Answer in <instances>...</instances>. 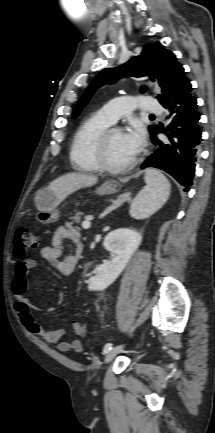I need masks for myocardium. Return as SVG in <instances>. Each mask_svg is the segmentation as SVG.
I'll list each match as a JSON object with an SVG mask.
<instances>
[{"mask_svg": "<svg viewBox=\"0 0 215 433\" xmlns=\"http://www.w3.org/2000/svg\"><path fill=\"white\" fill-rule=\"evenodd\" d=\"M114 131L122 132L121 128L119 127H108L106 130L103 131V133L100 135V137L97 140L96 148H95V159L97 162V165L99 168L103 171L109 172V173H123L130 169H132L138 162V159L134 157L130 162L120 165V166H114L112 165L107 158V145L110 135Z\"/></svg>", "mask_w": 215, "mask_h": 433, "instance_id": "1", "label": "myocardium"}]
</instances>
